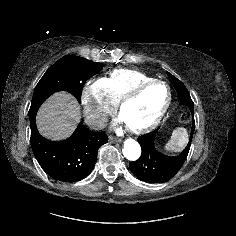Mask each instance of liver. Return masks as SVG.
Returning a JSON list of instances; mask_svg holds the SVG:
<instances>
[{"label": "liver", "mask_w": 236, "mask_h": 236, "mask_svg": "<svg viewBox=\"0 0 236 236\" xmlns=\"http://www.w3.org/2000/svg\"><path fill=\"white\" fill-rule=\"evenodd\" d=\"M81 118L77 100L69 93L57 92L47 99L38 111L39 132L51 140L69 137Z\"/></svg>", "instance_id": "obj_1"}]
</instances>
